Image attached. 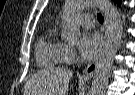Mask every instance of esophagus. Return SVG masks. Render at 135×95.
Segmentation results:
<instances>
[{
	"mask_svg": "<svg viewBox=\"0 0 135 95\" xmlns=\"http://www.w3.org/2000/svg\"><path fill=\"white\" fill-rule=\"evenodd\" d=\"M107 24H106V21L104 22V25H103V33H104V38L106 37V33H107ZM100 58V53L97 55V57L94 59V61H92L83 71V74L81 76V80H84V81H87L89 80L93 74H94V71L97 67V64H98V60Z\"/></svg>",
	"mask_w": 135,
	"mask_h": 95,
	"instance_id": "obj_1",
	"label": "esophagus"
}]
</instances>
